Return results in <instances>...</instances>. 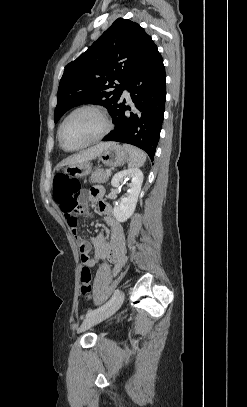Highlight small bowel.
Segmentation results:
<instances>
[{
	"label": "small bowel",
	"mask_w": 247,
	"mask_h": 407,
	"mask_svg": "<svg viewBox=\"0 0 247 407\" xmlns=\"http://www.w3.org/2000/svg\"><path fill=\"white\" fill-rule=\"evenodd\" d=\"M102 195L103 189L101 187H93L89 192L76 195L73 199H68L59 203V205L66 223L78 243L82 264L93 267L100 260L108 259L114 264V272L117 273L126 262L127 249L122 226L114 216L112 207L101 200ZM85 200L97 202L98 210L103 215V219L109 228V240L103 233H99L90 241L79 236L77 217L78 215L88 214ZM92 247L94 248L93 257L90 256Z\"/></svg>",
	"instance_id": "1"
}]
</instances>
